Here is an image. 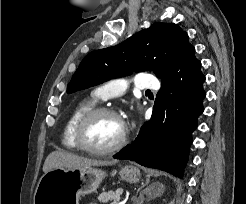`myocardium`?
I'll use <instances>...</instances> for the list:
<instances>
[{"mask_svg":"<svg viewBox=\"0 0 246 204\" xmlns=\"http://www.w3.org/2000/svg\"><path fill=\"white\" fill-rule=\"evenodd\" d=\"M101 115H111L115 118H117L118 120H120V122L123 125V132L122 135L120 137V139L113 144L110 147L107 148H94L89 146L86 141H85V130L88 126V124L96 117L101 116ZM128 129L125 126L121 116L119 115V113L117 111H115L112 108L109 107H94L92 109H90L89 111H87L78 121L76 128H75V132H74V138L75 141L79 147V149L91 153V154H95V155H107V154H111L114 153L118 150H120L121 148H123L125 146V144L127 143L128 140Z\"/></svg>","mask_w":246,"mask_h":204,"instance_id":"1","label":"myocardium"}]
</instances>
